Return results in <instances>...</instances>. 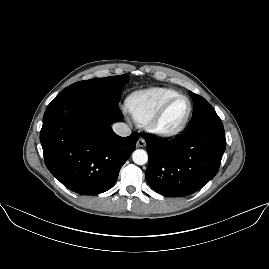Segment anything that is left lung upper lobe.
<instances>
[{"label": "left lung upper lobe", "instance_id": "5c2ea615", "mask_svg": "<svg viewBox=\"0 0 269 269\" xmlns=\"http://www.w3.org/2000/svg\"><path fill=\"white\" fill-rule=\"evenodd\" d=\"M194 102V112L190 122L184 130H191L206 124L221 123L213 107L201 96L189 91Z\"/></svg>", "mask_w": 269, "mask_h": 269}]
</instances>
